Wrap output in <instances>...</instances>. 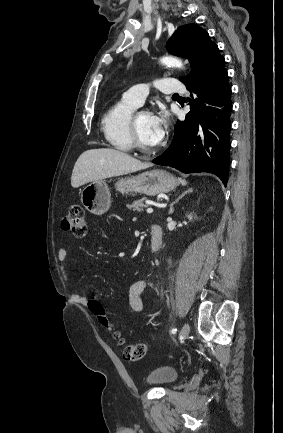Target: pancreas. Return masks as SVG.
<instances>
[{"instance_id": "1", "label": "pancreas", "mask_w": 283, "mask_h": 433, "mask_svg": "<svg viewBox=\"0 0 283 433\" xmlns=\"http://www.w3.org/2000/svg\"><path fill=\"white\" fill-rule=\"evenodd\" d=\"M147 196H143V198H139V200H134L132 204H129L128 208H133V210H138V212H141L145 206H148L147 204Z\"/></svg>"}]
</instances>
